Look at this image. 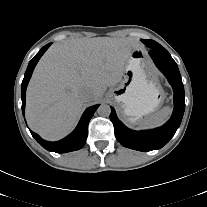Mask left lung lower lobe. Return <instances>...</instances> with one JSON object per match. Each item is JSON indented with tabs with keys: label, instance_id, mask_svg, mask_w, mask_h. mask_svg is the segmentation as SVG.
Instances as JSON below:
<instances>
[{
	"label": "left lung lower lobe",
	"instance_id": "obj_1",
	"mask_svg": "<svg viewBox=\"0 0 207 207\" xmlns=\"http://www.w3.org/2000/svg\"><path fill=\"white\" fill-rule=\"evenodd\" d=\"M149 54L173 87L174 111L172 117L160 128L138 132L124 126L117 118L112 107L110 114V120L114 125V133L118 142L124 147L138 151L160 149L167 144L180 126L185 110L184 87L176 62L165 48L151 49Z\"/></svg>",
	"mask_w": 207,
	"mask_h": 207
}]
</instances>
